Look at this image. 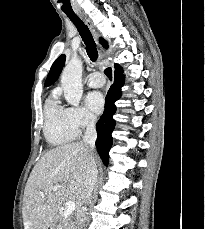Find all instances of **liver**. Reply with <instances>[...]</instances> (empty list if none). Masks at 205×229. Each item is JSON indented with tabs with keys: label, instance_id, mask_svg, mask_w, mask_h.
Here are the masks:
<instances>
[{
	"label": "liver",
	"instance_id": "obj_1",
	"mask_svg": "<svg viewBox=\"0 0 205 229\" xmlns=\"http://www.w3.org/2000/svg\"><path fill=\"white\" fill-rule=\"evenodd\" d=\"M92 156L97 168L98 158L94 153ZM89 157V149L82 142L58 146L42 155L24 190L22 215L25 229H48L66 200H80ZM53 185L60 187L53 191Z\"/></svg>",
	"mask_w": 205,
	"mask_h": 229
}]
</instances>
